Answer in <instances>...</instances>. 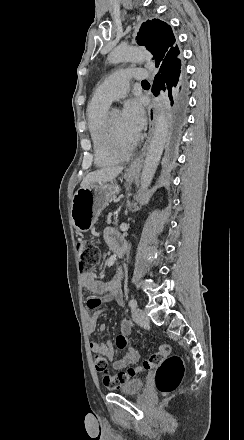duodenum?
Masks as SVG:
<instances>
[{"mask_svg": "<svg viewBox=\"0 0 244 440\" xmlns=\"http://www.w3.org/2000/svg\"><path fill=\"white\" fill-rule=\"evenodd\" d=\"M117 257L121 258L124 254V247L123 244H119V246L115 249Z\"/></svg>", "mask_w": 244, "mask_h": 440, "instance_id": "410a0bca", "label": "duodenum"}]
</instances>
